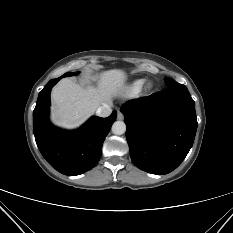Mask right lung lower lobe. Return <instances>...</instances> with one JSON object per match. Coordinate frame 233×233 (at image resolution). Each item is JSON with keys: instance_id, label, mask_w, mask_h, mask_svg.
Wrapping results in <instances>:
<instances>
[{"instance_id": "obj_1", "label": "right lung lower lobe", "mask_w": 233, "mask_h": 233, "mask_svg": "<svg viewBox=\"0 0 233 233\" xmlns=\"http://www.w3.org/2000/svg\"><path fill=\"white\" fill-rule=\"evenodd\" d=\"M60 78L50 80L40 91L33 112V131L36 144L47 162L68 176L80 175L99 161L102 145L117 112L107 118L92 117L82 127L66 131L53 126L48 118L50 92Z\"/></svg>"}]
</instances>
